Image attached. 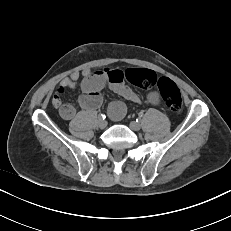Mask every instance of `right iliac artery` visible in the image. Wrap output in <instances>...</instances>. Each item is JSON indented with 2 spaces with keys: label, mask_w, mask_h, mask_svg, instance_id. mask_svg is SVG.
<instances>
[{
  "label": "right iliac artery",
  "mask_w": 231,
  "mask_h": 231,
  "mask_svg": "<svg viewBox=\"0 0 231 231\" xmlns=\"http://www.w3.org/2000/svg\"><path fill=\"white\" fill-rule=\"evenodd\" d=\"M99 118H101V119H105V118H106V116H105L104 114H99Z\"/></svg>",
  "instance_id": "82829eb1"
}]
</instances>
